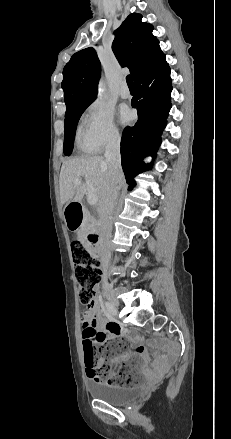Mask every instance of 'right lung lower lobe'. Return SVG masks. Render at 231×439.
I'll return each mask as SVG.
<instances>
[{
	"label": "right lung lower lobe",
	"mask_w": 231,
	"mask_h": 439,
	"mask_svg": "<svg viewBox=\"0 0 231 439\" xmlns=\"http://www.w3.org/2000/svg\"><path fill=\"white\" fill-rule=\"evenodd\" d=\"M134 83L136 94L131 104L137 109L138 121L135 126L124 129L121 140V162L129 190L136 184L134 177L150 168L143 158L156 156L171 108L170 67L165 56L137 76Z\"/></svg>",
	"instance_id": "right-lung-lower-lobe-1"
}]
</instances>
